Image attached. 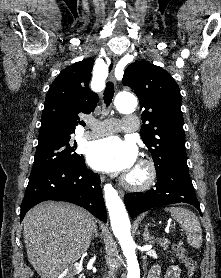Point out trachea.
<instances>
[{
  "label": "trachea",
  "instance_id": "1",
  "mask_svg": "<svg viewBox=\"0 0 221 278\" xmlns=\"http://www.w3.org/2000/svg\"><path fill=\"white\" fill-rule=\"evenodd\" d=\"M114 96V84L112 82H107L105 91H104V103L108 107L113 99Z\"/></svg>",
  "mask_w": 221,
  "mask_h": 278
}]
</instances>
